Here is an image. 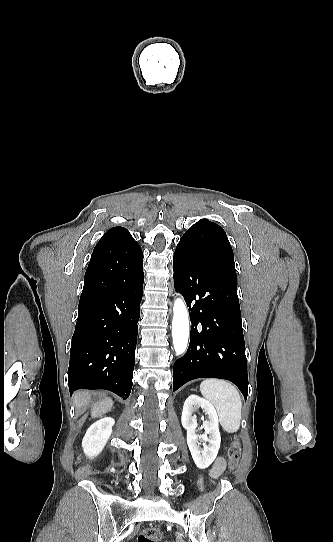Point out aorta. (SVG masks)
<instances>
[{
	"instance_id": "762f6f07",
	"label": "aorta",
	"mask_w": 333,
	"mask_h": 542,
	"mask_svg": "<svg viewBox=\"0 0 333 542\" xmlns=\"http://www.w3.org/2000/svg\"><path fill=\"white\" fill-rule=\"evenodd\" d=\"M189 340V318L182 298H177L173 306L172 342L177 356L185 354Z\"/></svg>"
}]
</instances>
